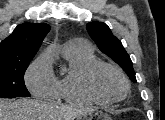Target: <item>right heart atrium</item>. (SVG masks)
<instances>
[{"label":"right heart atrium","mask_w":165,"mask_h":120,"mask_svg":"<svg viewBox=\"0 0 165 120\" xmlns=\"http://www.w3.org/2000/svg\"><path fill=\"white\" fill-rule=\"evenodd\" d=\"M25 82L30 92L40 98H53L57 79L53 74L51 62L46 54L39 56L28 68Z\"/></svg>","instance_id":"1"}]
</instances>
